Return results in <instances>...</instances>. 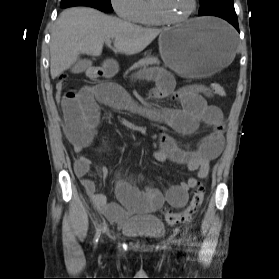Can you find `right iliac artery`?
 <instances>
[{"label": "right iliac artery", "mask_w": 279, "mask_h": 279, "mask_svg": "<svg viewBox=\"0 0 279 279\" xmlns=\"http://www.w3.org/2000/svg\"><path fill=\"white\" fill-rule=\"evenodd\" d=\"M99 233H100V229L97 230L96 234H95V238H94V245L97 244L98 242V238H99Z\"/></svg>", "instance_id": "1"}]
</instances>
